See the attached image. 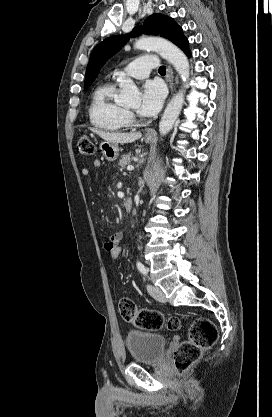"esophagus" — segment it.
<instances>
[{"instance_id": "esophagus-1", "label": "esophagus", "mask_w": 272, "mask_h": 417, "mask_svg": "<svg viewBox=\"0 0 272 417\" xmlns=\"http://www.w3.org/2000/svg\"><path fill=\"white\" fill-rule=\"evenodd\" d=\"M166 80L169 84V88H170V92L172 93L173 91V85H174V75H173V70L171 67H168L167 69V75H166ZM155 135V131L154 129H150L147 131L146 136H153Z\"/></svg>"}]
</instances>
